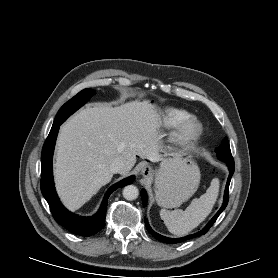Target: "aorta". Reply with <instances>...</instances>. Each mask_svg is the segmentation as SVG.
<instances>
[{"instance_id": "obj_1", "label": "aorta", "mask_w": 278, "mask_h": 278, "mask_svg": "<svg viewBox=\"0 0 278 278\" xmlns=\"http://www.w3.org/2000/svg\"><path fill=\"white\" fill-rule=\"evenodd\" d=\"M122 194L126 200L132 201L138 197L139 191L136 186L128 185V186L124 187Z\"/></svg>"}]
</instances>
